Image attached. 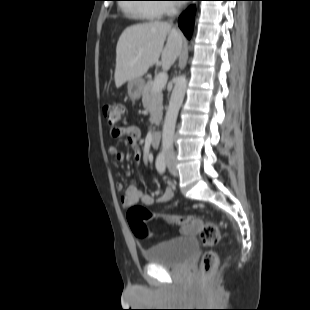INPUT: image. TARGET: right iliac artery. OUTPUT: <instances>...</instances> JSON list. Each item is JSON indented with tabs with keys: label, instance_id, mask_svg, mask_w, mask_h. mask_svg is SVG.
<instances>
[{
	"label": "right iliac artery",
	"instance_id": "obj_1",
	"mask_svg": "<svg viewBox=\"0 0 310 310\" xmlns=\"http://www.w3.org/2000/svg\"><path fill=\"white\" fill-rule=\"evenodd\" d=\"M165 154L166 152L163 150L156 158V168L161 174L164 173L166 168Z\"/></svg>",
	"mask_w": 310,
	"mask_h": 310
}]
</instances>
